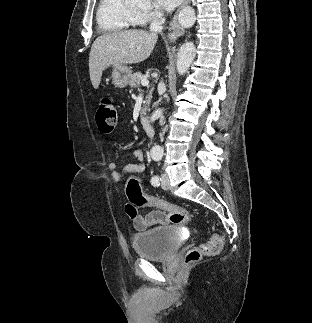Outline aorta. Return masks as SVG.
I'll return each instance as SVG.
<instances>
[{
  "mask_svg": "<svg viewBox=\"0 0 312 323\" xmlns=\"http://www.w3.org/2000/svg\"><path fill=\"white\" fill-rule=\"evenodd\" d=\"M196 56V48L193 44V42H185L183 46H181L178 56H177V72L180 74V76H183V74H186L188 72L192 62H194V58ZM162 112L161 110H156L154 114H152L150 118V122H155V120H158L160 118ZM155 150H161L160 146H155Z\"/></svg>",
  "mask_w": 312,
  "mask_h": 323,
  "instance_id": "aorta-1",
  "label": "aorta"
}]
</instances>
